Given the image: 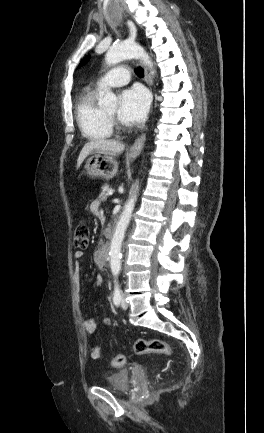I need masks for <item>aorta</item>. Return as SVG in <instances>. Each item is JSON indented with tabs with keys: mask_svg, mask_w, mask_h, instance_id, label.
I'll list each match as a JSON object with an SVG mask.
<instances>
[{
	"mask_svg": "<svg viewBox=\"0 0 264 433\" xmlns=\"http://www.w3.org/2000/svg\"><path fill=\"white\" fill-rule=\"evenodd\" d=\"M138 58L146 64L150 70H153V63L149 55L137 43L123 42L110 47L105 55V61L108 65L117 64L125 59ZM154 73V71H152ZM104 106H115L117 98L111 91H107L104 95ZM136 196L131 197L125 205V208L120 216L119 222L111 241L109 256L110 268L113 276H118L121 270V250L125 232L129 225L132 212L135 206Z\"/></svg>",
	"mask_w": 264,
	"mask_h": 433,
	"instance_id": "762f6f07",
	"label": "aorta"
}]
</instances>
